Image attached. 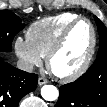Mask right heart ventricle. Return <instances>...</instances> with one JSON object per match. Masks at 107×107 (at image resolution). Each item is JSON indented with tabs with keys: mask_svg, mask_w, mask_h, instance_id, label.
Wrapping results in <instances>:
<instances>
[{
	"mask_svg": "<svg viewBox=\"0 0 107 107\" xmlns=\"http://www.w3.org/2000/svg\"><path fill=\"white\" fill-rule=\"evenodd\" d=\"M77 18L79 16L74 13H61L42 18L29 26L26 38L42 57H46L64 28Z\"/></svg>",
	"mask_w": 107,
	"mask_h": 107,
	"instance_id": "right-heart-ventricle-1",
	"label": "right heart ventricle"
}]
</instances>
